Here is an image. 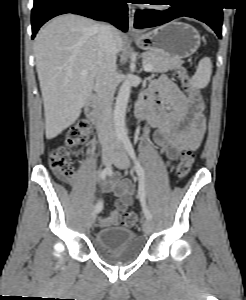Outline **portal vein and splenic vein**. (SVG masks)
I'll return each instance as SVG.
<instances>
[{"mask_svg":"<svg viewBox=\"0 0 246 300\" xmlns=\"http://www.w3.org/2000/svg\"><path fill=\"white\" fill-rule=\"evenodd\" d=\"M143 68L146 72H150L153 70V67L149 64H144ZM86 74H87V72H85V71L81 72V75H83V76H85Z\"/></svg>","mask_w":246,"mask_h":300,"instance_id":"portal-vein-and-splenic-vein-1","label":"portal vein and splenic vein"}]
</instances>
